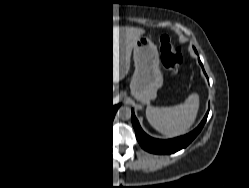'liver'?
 Instances as JSON below:
<instances>
[{"label":"liver","mask_w":249,"mask_h":188,"mask_svg":"<svg viewBox=\"0 0 249 188\" xmlns=\"http://www.w3.org/2000/svg\"><path fill=\"white\" fill-rule=\"evenodd\" d=\"M145 33L142 28L114 29L112 35V77L119 79L129 67L131 50L135 41Z\"/></svg>","instance_id":"6515ba94"}]
</instances>
